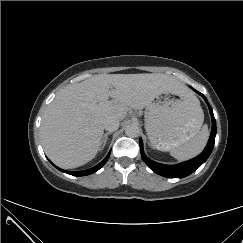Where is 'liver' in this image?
<instances>
[{"label":"liver","instance_id":"6515ba94","mask_svg":"<svg viewBox=\"0 0 243 243\" xmlns=\"http://www.w3.org/2000/svg\"><path fill=\"white\" fill-rule=\"evenodd\" d=\"M189 93L184 84L165 74H99L58 92L41 122L46 155L59 167L71 169L92 160L102 145L104 120H123L129 110L147 107L161 94ZM109 97L111 110H97Z\"/></svg>","mask_w":243,"mask_h":243}]
</instances>
